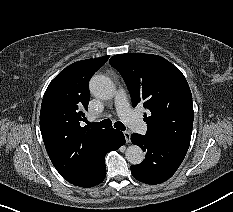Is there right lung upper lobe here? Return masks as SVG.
Listing matches in <instances>:
<instances>
[{
	"label": "right lung upper lobe",
	"mask_w": 233,
	"mask_h": 212,
	"mask_svg": "<svg viewBox=\"0 0 233 212\" xmlns=\"http://www.w3.org/2000/svg\"><path fill=\"white\" fill-rule=\"evenodd\" d=\"M109 56L77 61L61 71L45 91L40 129L48 155L61 176L74 179L90 165L107 129L81 127L88 109V82Z\"/></svg>",
	"instance_id": "cb5924a9"
}]
</instances>
